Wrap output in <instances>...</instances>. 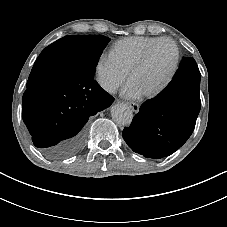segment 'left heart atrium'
I'll return each instance as SVG.
<instances>
[{
  "mask_svg": "<svg viewBox=\"0 0 227 227\" xmlns=\"http://www.w3.org/2000/svg\"><path fill=\"white\" fill-rule=\"evenodd\" d=\"M122 95L128 99H137L142 96L140 91L131 83L125 86L122 91Z\"/></svg>",
  "mask_w": 227,
  "mask_h": 227,
  "instance_id": "left-heart-atrium-1",
  "label": "left heart atrium"
}]
</instances>
